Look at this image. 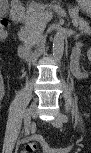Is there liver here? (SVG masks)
Listing matches in <instances>:
<instances>
[{"label": "liver", "instance_id": "1", "mask_svg": "<svg viewBox=\"0 0 91 153\" xmlns=\"http://www.w3.org/2000/svg\"><path fill=\"white\" fill-rule=\"evenodd\" d=\"M3 2H4V4H7V2H8V1H7V0H5V1H3Z\"/></svg>", "mask_w": 91, "mask_h": 153}]
</instances>
